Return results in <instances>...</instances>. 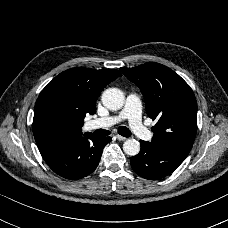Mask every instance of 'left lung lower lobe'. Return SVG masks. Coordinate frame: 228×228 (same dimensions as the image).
<instances>
[{"mask_svg": "<svg viewBox=\"0 0 228 228\" xmlns=\"http://www.w3.org/2000/svg\"><path fill=\"white\" fill-rule=\"evenodd\" d=\"M140 144V153L131 157L130 164L133 170L145 179L164 178L171 174L187 156L157 149L150 142L140 140Z\"/></svg>", "mask_w": 228, "mask_h": 228, "instance_id": "obj_1", "label": "left lung lower lobe"}]
</instances>
